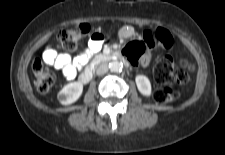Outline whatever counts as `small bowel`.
Listing matches in <instances>:
<instances>
[{
    "label": "small bowel",
    "mask_w": 225,
    "mask_h": 155,
    "mask_svg": "<svg viewBox=\"0 0 225 155\" xmlns=\"http://www.w3.org/2000/svg\"><path fill=\"white\" fill-rule=\"evenodd\" d=\"M132 34L133 31L129 29L122 32L123 37H129ZM103 43L104 36L100 33H95L88 41L87 49L75 57H71L70 55L64 53H58L53 47L48 46L44 49L42 58L46 64L60 69L67 79H73L77 70L85 65L93 54L101 50ZM149 62L150 53L145 52L139 63L146 66Z\"/></svg>",
    "instance_id": "small-bowel-1"
}]
</instances>
